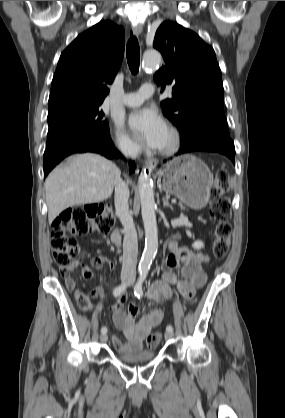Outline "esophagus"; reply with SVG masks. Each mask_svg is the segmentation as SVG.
Returning <instances> with one entry per match:
<instances>
[{"label": "esophagus", "instance_id": "34e87169", "mask_svg": "<svg viewBox=\"0 0 285 418\" xmlns=\"http://www.w3.org/2000/svg\"><path fill=\"white\" fill-rule=\"evenodd\" d=\"M132 30H133V33L138 36L142 32V26L136 23L132 26ZM146 164H147L148 169L151 170L157 166L158 161L156 159H151Z\"/></svg>", "mask_w": 285, "mask_h": 418}]
</instances>
